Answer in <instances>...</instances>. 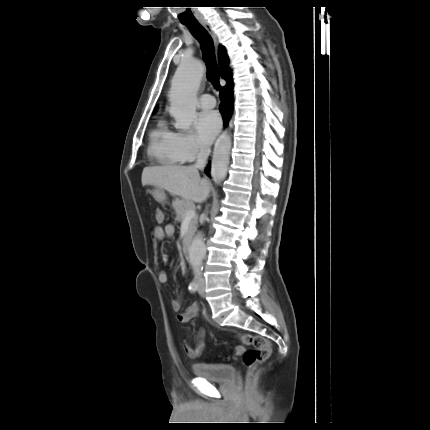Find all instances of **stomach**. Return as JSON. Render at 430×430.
Wrapping results in <instances>:
<instances>
[{"label": "stomach", "mask_w": 430, "mask_h": 430, "mask_svg": "<svg viewBox=\"0 0 430 430\" xmlns=\"http://www.w3.org/2000/svg\"><path fill=\"white\" fill-rule=\"evenodd\" d=\"M153 197L156 201L163 203L166 200V195L163 188L156 187L152 191Z\"/></svg>", "instance_id": "1"}]
</instances>
